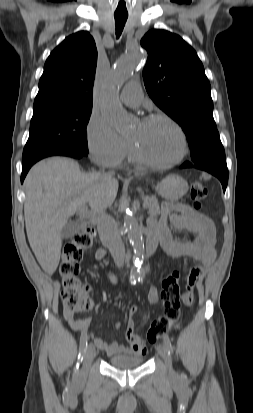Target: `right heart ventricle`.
Masks as SVG:
<instances>
[{
  "instance_id": "right-heart-ventricle-1",
  "label": "right heart ventricle",
  "mask_w": 253,
  "mask_h": 413,
  "mask_svg": "<svg viewBox=\"0 0 253 413\" xmlns=\"http://www.w3.org/2000/svg\"><path fill=\"white\" fill-rule=\"evenodd\" d=\"M126 156L128 157V159H129L130 161H135V160H137V159L135 158V156H134V154H133V151H132L131 149L128 151V153H127Z\"/></svg>"
}]
</instances>
